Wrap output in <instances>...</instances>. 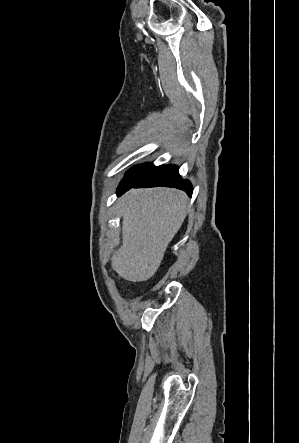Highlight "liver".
I'll return each instance as SVG.
<instances>
[{"label":"liver","instance_id":"1","mask_svg":"<svg viewBox=\"0 0 299 443\" xmlns=\"http://www.w3.org/2000/svg\"><path fill=\"white\" fill-rule=\"evenodd\" d=\"M121 212L122 246L111 258L112 268L127 281L150 279L186 217L187 195L172 188L133 190Z\"/></svg>","mask_w":299,"mask_h":443}]
</instances>
